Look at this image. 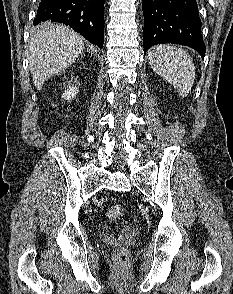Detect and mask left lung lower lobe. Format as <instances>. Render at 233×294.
<instances>
[{"label": "left lung lower lobe", "mask_w": 233, "mask_h": 294, "mask_svg": "<svg viewBox=\"0 0 233 294\" xmlns=\"http://www.w3.org/2000/svg\"><path fill=\"white\" fill-rule=\"evenodd\" d=\"M144 52L174 43L195 49L204 58L205 44L196 0H142Z\"/></svg>", "instance_id": "0a47b994"}]
</instances>
